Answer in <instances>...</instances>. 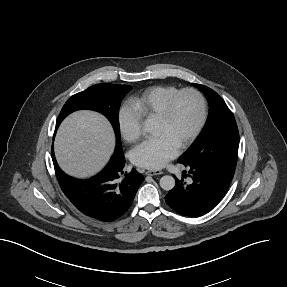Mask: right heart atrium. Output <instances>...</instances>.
<instances>
[{"instance_id":"obj_1","label":"right heart atrium","mask_w":287,"mask_h":287,"mask_svg":"<svg viewBox=\"0 0 287 287\" xmlns=\"http://www.w3.org/2000/svg\"><path fill=\"white\" fill-rule=\"evenodd\" d=\"M118 125L122 138L128 143L138 141L142 136V121L129 107H122L118 112Z\"/></svg>"}]
</instances>
